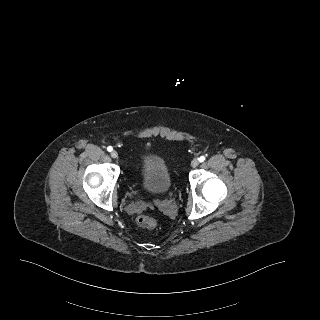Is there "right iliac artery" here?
I'll return each mask as SVG.
<instances>
[{
    "mask_svg": "<svg viewBox=\"0 0 320 320\" xmlns=\"http://www.w3.org/2000/svg\"><path fill=\"white\" fill-rule=\"evenodd\" d=\"M107 150H108L109 152H111V151L113 150V148H112L111 146H108V147H107Z\"/></svg>",
    "mask_w": 320,
    "mask_h": 320,
    "instance_id": "right-iliac-artery-1",
    "label": "right iliac artery"
}]
</instances>
